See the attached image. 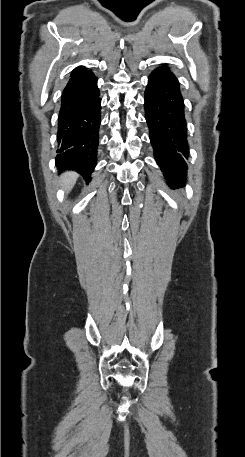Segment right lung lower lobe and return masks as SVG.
I'll return each mask as SVG.
<instances>
[{
    "label": "right lung lower lobe",
    "mask_w": 245,
    "mask_h": 457,
    "mask_svg": "<svg viewBox=\"0 0 245 457\" xmlns=\"http://www.w3.org/2000/svg\"><path fill=\"white\" fill-rule=\"evenodd\" d=\"M101 98L91 71L71 74L61 96L58 116L56 166L75 170L91 180L97 163Z\"/></svg>",
    "instance_id": "98d812e1"
}]
</instances>
